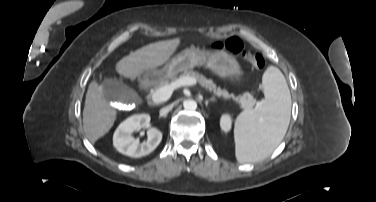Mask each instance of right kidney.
I'll return each instance as SVG.
<instances>
[{"label": "right kidney", "instance_id": "ca27d5eb", "mask_svg": "<svg viewBox=\"0 0 376 202\" xmlns=\"http://www.w3.org/2000/svg\"><path fill=\"white\" fill-rule=\"evenodd\" d=\"M148 128L147 141L142 144L131 136L134 131ZM162 133L155 127H150L148 114L133 115L124 120L113 135V145L122 154L139 158L151 153L161 142Z\"/></svg>", "mask_w": 376, "mask_h": 202}]
</instances>
